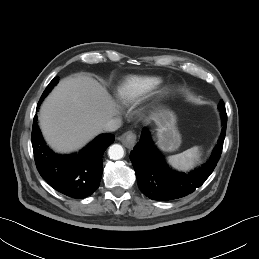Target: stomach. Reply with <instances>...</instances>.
Returning a JSON list of instances; mask_svg holds the SVG:
<instances>
[{
    "label": "stomach",
    "instance_id": "0dacf381",
    "mask_svg": "<svg viewBox=\"0 0 259 259\" xmlns=\"http://www.w3.org/2000/svg\"><path fill=\"white\" fill-rule=\"evenodd\" d=\"M156 122L158 143L162 150L173 151L180 145V135L176 129V116L168 109H158L152 113Z\"/></svg>",
    "mask_w": 259,
    "mask_h": 259
}]
</instances>
